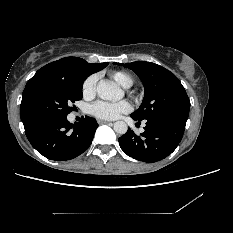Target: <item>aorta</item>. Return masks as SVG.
Returning a JSON list of instances; mask_svg holds the SVG:
<instances>
[{
  "instance_id": "762f6f07",
  "label": "aorta",
  "mask_w": 233,
  "mask_h": 233,
  "mask_svg": "<svg viewBox=\"0 0 233 233\" xmlns=\"http://www.w3.org/2000/svg\"><path fill=\"white\" fill-rule=\"evenodd\" d=\"M97 94L103 100L117 101L123 98L124 92L115 83L107 80L99 81L97 85ZM128 126L124 121L114 123V131L118 134H125Z\"/></svg>"
}]
</instances>
